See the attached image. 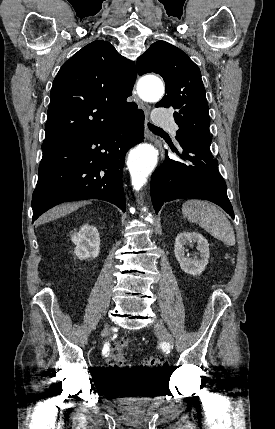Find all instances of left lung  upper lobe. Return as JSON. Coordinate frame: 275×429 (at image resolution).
I'll return each instance as SVG.
<instances>
[{"instance_id":"1","label":"left lung upper lobe","mask_w":275,"mask_h":429,"mask_svg":"<svg viewBox=\"0 0 275 429\" xmlns=\"http://www.w3.org/2000/svg\"><path fill=\"white\" fill-rule=\"evenodd\" d=\"M137 70L140 76L152 72L165 81L166 93L156 107L174 109L177 140L194 138L210 145L205 88L200 70L189 56L165 41H157L137 59Z\"/></svg>"}]
</instances>
